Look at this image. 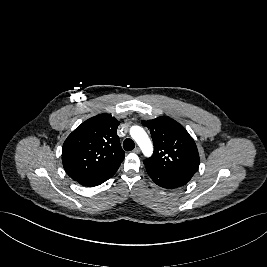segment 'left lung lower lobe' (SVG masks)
<instances>
[{
    "label": "left lung lower lobe",
    "mask_w": 267,
    "mask_h": 267,
    "mask_svg": "<svg viewBox=\"0 0 267 267\" xmlns=\"http://www.w3.org/2000/svg\"><path fill=\"white\" fill-rule=\"evenodd\" d=\"M146 171L152 180L159 186L167 189H175L181 186H184L188 180L178 178L171 175H166L161 172L150 169L147 165H145Z\"/></svg>",
    "instance_id": "0a47b994"
}]
</instances>
